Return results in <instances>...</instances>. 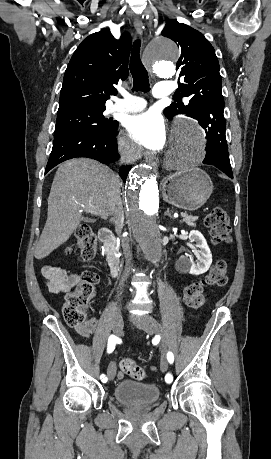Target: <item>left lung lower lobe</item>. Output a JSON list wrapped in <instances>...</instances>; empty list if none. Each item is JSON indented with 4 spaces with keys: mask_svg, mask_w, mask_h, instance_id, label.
Masks as SVG:
<instances>
[{
    "mask_svg": "<svg viewBox=\"0 0 271 459\" xmlns=\"http://www.w3.org/2000/svg\"><path fill=\"white\" fill-rule=\"evenodd\" d=\"M205 130L207 144L204 164L214 165L229 177L233 178L229 160L228 146L225 136L226 120L223 117H216L199 121Z\"/></svg>",
    "mask_w": 271,
    "mask_h": 459,
    "instance_id": "obj_1",
    "label": "left lung lower lobe"
}]
</instances>
